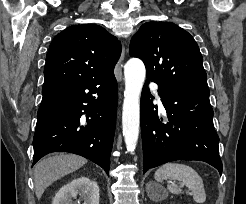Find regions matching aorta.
Instances as JSON below:
<instances>
[{
	"instance_id": "762f6f07",
	"label": "aorta",
	"mask_w": 246,
	"mask_h": 204,
	"mask_svg": "<svg viewBox=\"0 0 246 204\" xmlns=\"http://www.w3.org/2000/svg\"><path fill=\"white\" fill-rule=\"evenodd\" d=\"M125 91L122 111V127L126 148L134 151L140 126V94L146 76L144 63L138 58H131L124 67Z\"/></svg>"
}]
</instances>
